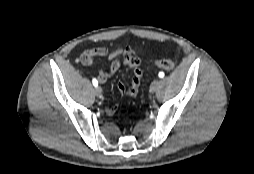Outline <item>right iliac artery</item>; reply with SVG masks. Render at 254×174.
<instances>
[{
	"label": "right iliac artery",
	"mask_w": 254,
	"mask_h": 174,
	"mask_svg": "<svg viewBox=\"0 0 254 174\" xmlns=\"http://www.w3.org/2000/svg\"><path fill=\"white\" fill-rule=\"evenodd\" d=\"M92 83H93V85H94L95 87L98 86V81H97L95 78H93Z\"/></svg>",
	"instance_id": "obj_1"
}]
</instances>
